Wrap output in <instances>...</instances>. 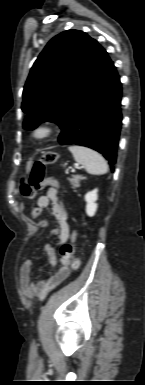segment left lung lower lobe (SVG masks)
I'll return each mask as SVG.
<instances>
[{
	"label": "left lung lower lobe",
	"mask_w": 145,
	"mask_h": 385,
	"mask_svg": "<svg viewBox=\"0 0 145 385\" xmlns=\"http://www.w3.org/2000/svg\"><path fill=\"white\" fill-rule=\"evenodd\" d=\"M121 96L116 68L99 45L92 67L61 126L59 142L92 148L115 164L122 122Z\"/></svg>",
	"instance_id": "obj_1"
}]
</instances>
